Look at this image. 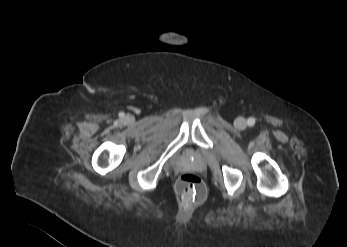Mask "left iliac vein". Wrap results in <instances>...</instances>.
<instances>
[{"label":"left iliac vein","instance_id":"obj_1","mask_svg":"<svg viewBox=\"0 0 347 247\" xmlns=\"http://www.w3.org/2000/svg\"><path fill=\"white\" fill-rule=\"evenodd\" d=\"M235 126L239 129H243L246 127L247 125V121L245 118L243 117H238L236 118L235 122H234Z\"/></svg>","mask_w":347,"mask_h":247}]
</instances>
